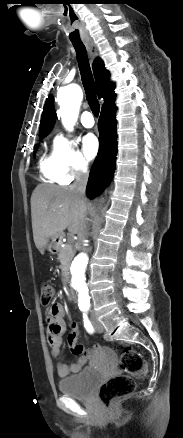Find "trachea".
Returning a JSON list of instances; mask_svg holds the SVG:
<instances>
[{"mask_svg":"<svg viewBox=\"0 0 183 438\" xmlns=\"http://www.w3.org/2000/svg\"><path fill=\"white\" fill-rule=\"evenodd\" d=\"M72 44L77 54L76 58L88 104L92 110V113L95 116H98L100 111V104L95 95L94 79L92 76L86 48L83 43L73 42Z\"/></svg>","mask_w":183,"mask_h":438,"instance_id":"trachea-1","label":"trachea"}]
</instances>
